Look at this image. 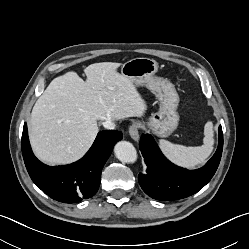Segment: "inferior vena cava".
Segmentation results:
<instances>
[{
    "instance_id": "602c4592",
    "label": "inferior vena cava",
    "mask_w": 249,
    "mask_h": 249,
    "mask_svg": "<svg viewBox=\"0 0 249 249\" xmlns=\"http://www.w3.org/2000/svg\"><path fill=\"white\" fill-rule=\"evenodd\" d=\"M102 125L107 130H112L115 128V123L111 119H107L104 122H102Z\"/></svg>"
}]
</instances>
